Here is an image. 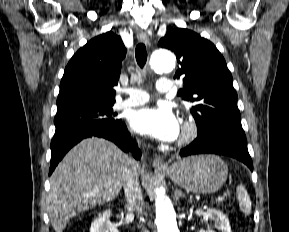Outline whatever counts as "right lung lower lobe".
Returning a JSON list of instances; mask_svg holds the SVG:
<instances>
[{"mask_svg":"<svg viewBox=\"0 0 289 232\" xmlns=\"http://www.w3.org/2000/svg\"><path fill=\"white\" fill-rule=\"evenodd\" d=\"M97 136L113 141L123 151H131L135 158L139 159L141 152L122 121L111 125H68L56 128L55 135L51 142V166L50 173L64 157V155L82 139Z\"/></svg>","mask_w":289,"mask_h":232,"instance_id":"1","label":"right lung lower lobe"}]
</instances>
